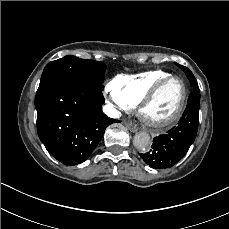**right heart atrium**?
Masks as SVG:
<instances>
[{
  "label": "right heart atrium",
  "instance_id": "obj_1",
  "mask_svg": "<svg viewBox=\"0 0 229 229\" xmlns=\"http://www.w3.org/2000/svg\"><path fill=\"white\" fill-rule=\"evenodd\" d=\"M105 92L109 96L110 102L113 103L115 106H117L119 109L124 110V111H129L133 109L134 103L119 96L115 92L112 83L106 87Z\"/></svg>",
  "mask_w": 229,
  "mask_h": 229
}]
</instances>
